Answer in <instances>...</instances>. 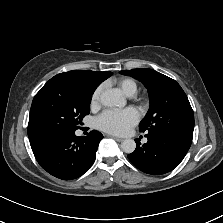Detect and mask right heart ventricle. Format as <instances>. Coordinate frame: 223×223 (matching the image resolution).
Here are the masks:
<instances>
[{
  "label": "right heart ventricle",
  "instance_id": "e07e8e85",
  "mask_svg": "<svg viewBox=\"0 0 223 223\" xmlns=\"http://www.w3.org/2000/svg\"><path fill=\"white\" fill-rule=\"evenodd\" d=\"M121 90L128 96H134L137 93V84L134 80L124 78L119 81Z\"/></svg>",
  "mask_w": 223,
  "mask_h": 223
}]
</instances>
